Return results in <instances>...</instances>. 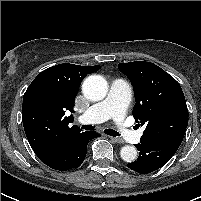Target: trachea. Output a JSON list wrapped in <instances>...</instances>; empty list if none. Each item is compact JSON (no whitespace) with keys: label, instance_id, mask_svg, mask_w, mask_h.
<instances>
[{"label":"trachea","instance_id":"obj_1","mask_svg":"<svg viewBox=\"0 0 201 201\" xmlns=\"http://www.w3.org/2000/svg\"><path fill=\"white\" fill-rule=\"evenodd\" d=\"M82 129L94 130V126H92V125H82ZM104 133L109 135V136H113V137L119 136V133L117 131L112 130V129H105Z\"/></svg>","mask_w":201,"mask_h":201}]
</instances>
